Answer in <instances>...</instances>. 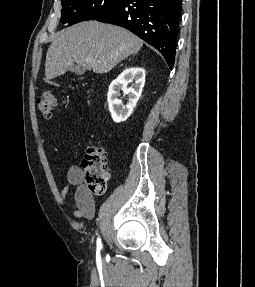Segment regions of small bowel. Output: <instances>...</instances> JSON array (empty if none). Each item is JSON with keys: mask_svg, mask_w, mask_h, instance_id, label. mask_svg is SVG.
Returning a JSON list of instances; mask_svg holds the SVG:
<instances>
[{"mask_svg": "<svg viewBox=\"0 0 255 287\" xmlns=\"http://www.w3.org/2000/svg\"><path fill=\"white\" fill-rule=\"evenodd\" d=\"M68 185L64 187L60 196L69 207L74 210V216L78 219H91L95 213V202L92 194L84 184V172L77 166L69 167L67 171ZM74 188V203L70 200L71 190Z\"/></svg>", "mask_w": 255, "mask_h": 287, "instance_id": "obj_1", "label": "small bowel"}]
</instances>
